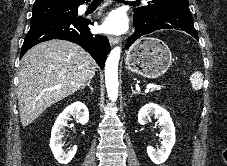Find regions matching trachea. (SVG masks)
<instances>
[{"label":"trachea","mask_w":227,"mask_h":166,"mask_svg":"<svg viewBox=\"0 0 227 166\" xmlns=\"http://www.w3.org/2000/svg\"><path fill=\"white\" fill-rule=\"evenodd\" d=\"M103 0H93V3H100L102 2ZM116 2H123V0H114ZM126 3H137V2H126Z\"/></svg>","instance_id":"3493384b"}]
</instances>
